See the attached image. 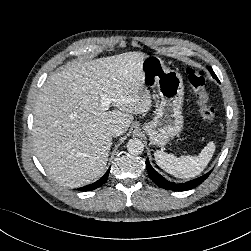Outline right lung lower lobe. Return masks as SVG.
<instances>
[{"label": "right lung lower lobe", "instance_id": "right-lung-lower-lobe-1", "mask_svg": "<svg viewBox=\"0 0 251 251\" xmlns=\"http://www.w3.org/2000/svg\"><path fill=\"white\" fill-rule=\"evenodd\" d=\"M109 170L96 182L80 188L81 191H92L102 186L108 179Z\"/></svg>", "mask_w": 251, "mask_h": 251}]
</instances>
